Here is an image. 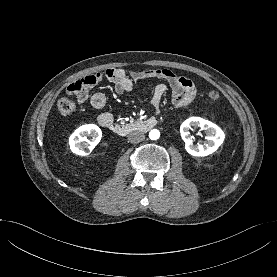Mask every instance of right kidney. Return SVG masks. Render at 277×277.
<instances>
[{
    "label": "right kidney",
    "mask_w": 277,
    "mask_h": 277,
    "mask_svg": "<svg viewBox=\"0 0 277 277\" xmlns=\"http://www.w3.org/2000/svg\"><path fill=\"white\" fill-rule=\"evenodd\" d=\"M86 135L92 137L89 141ZM102 137L101 129L95 124H86L77 128L69 138V146L73 153L86 156L87 151H92Z\"/></svg>",
    "instance_id": "right-kidney-1"
}]
</instances>
